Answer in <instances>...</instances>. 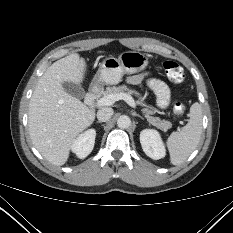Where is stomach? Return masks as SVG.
<instances>
[{"mask_svg":"<svg viewBox=\"0 0 233 233\" xmlns=\"http://www.w3.org/2000/svg\"><path fill=\"white\" fill-rule=\"evenodd\" d=\"M147 65L148 58L136 51L123 52L118 58H106L93 79V85L117 84L122 80L124 74L138 73L144 70Z\"/></svg>","mask_w":233,"mask_h":233,"instance_id":"stomach-1","label":"stomach"}]
</instances>
